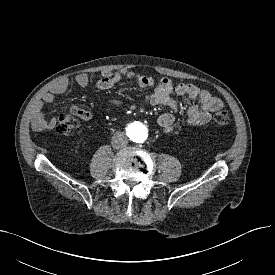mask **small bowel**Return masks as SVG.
Segmentation results:
<instances>
[{
    "instance_id": "obj_1",
    "label": "small bowel",
    "mask_w": 275,
    "mask_h": 275,
    "mask_svg": "<svg viewBox=\"0 0 275 275\" xmlns=\"http://www.w3.org/2000/svg\"><path fill=\"white\" fill-rule=\"evenodd\" d=\"M122 79L134 80L141 87L153 88V91L146 96L145 102L151 105H160L169 108L171 111L162 114L158 119V124L165 134H170L173 130L175 121L174 114L177 112L182 103L175 101L171 94L183 98V102H190L198 100V104H192L187 109L186 124L189 126H202L211 120L212 113L219 111L223 108L224 104L221 99L212 95L205 89H200L198 86L191 83H178L174 84L169 78H162L156 82L152 77L139 74L130 70H120L118 72L104 71L101 73L100 79L96 82L95 86L99 90H108ZM77 85L84 87L88 84L89 79L85 74H78L75 77ZM68 81L60 79L56 81L50 91L43 96V102L52 103L57 95L66 91ZM116 104V101L112 102ZM70 112L84 121L91 119L92 114L78 106H72ZM56 125L55 118H47L38 108L32 119V127L36 131L50 130Z\"/></svg>"
}]
</instances>
